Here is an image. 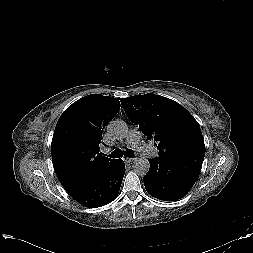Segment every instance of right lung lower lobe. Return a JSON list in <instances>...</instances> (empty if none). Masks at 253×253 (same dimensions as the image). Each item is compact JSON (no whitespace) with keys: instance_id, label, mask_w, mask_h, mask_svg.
<instances>
[{"instance_id":"1","label":"right lung lower lobe","mask_w":253,"mask_h":253,"mask_svg":"<svg viewBox=\"0 0 253 253\" xmlns=\"http://www.w3.org/2000/svg\"><path fill=\"white\" fill-rule=\"evenodd\" d=\"M124 174L125 164L122 159H117L109 172L70 196L90 208L104 206L117 197Z\"/></svg>"}]
</instances>
